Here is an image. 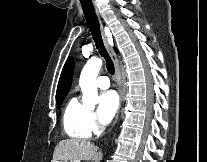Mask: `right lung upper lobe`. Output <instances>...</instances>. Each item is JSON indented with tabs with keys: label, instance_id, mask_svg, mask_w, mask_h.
<instances>
[{
	"label": "right lung upper lobe",
	"instance_id": "cb5924a9",
	"mask_svg": "<svg viewBox=\"0 0 207 162\" xmlns=\"http://www.w3.org/2000/svg\"><path fill=\"white\" fill-rule=\"evenodd\" d=\"M72 72H73V60L70 58L66 62L60 76L57 93H56V100L64 98L68 93L69 88L71 86Z\"/></svg>",
	"mask_w": 207,
	"mask_h": 162
}]
</instances>
